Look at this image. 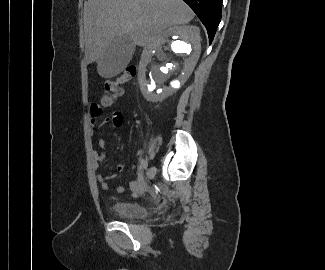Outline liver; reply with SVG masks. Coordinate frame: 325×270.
<instances>
[{
	"mask_svg": "<svg viewBox=\"0 0 325 270\" xmlns=\"http://www.w3.org/2000/svg\"><path fill=\"white\" fill-rule=\"evenodd\" d=\"M194 18L182 0H88L84 7L85 60L97 62L118 36H129L134 46L153 47L176 25Z\"/></svg>",
	"mask_w": 325,
	"mask_h": 270,
	"instance_id": "liver-1",
	"label": "liver"
}]
</instances>
